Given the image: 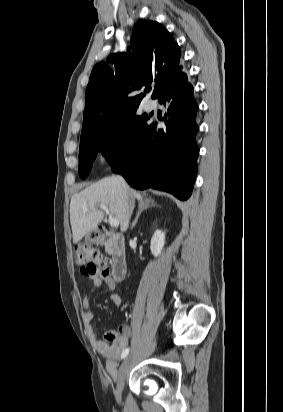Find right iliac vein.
Returning a JSON list of instances; mask_svg holds the SVG:
<instances>
[{
  "label": "right iliac vein",
  "mask_w": 283,
  "mask_h": 412,
  "mask_svg": "<svg viewBox=\"0 0 283 412\" xmlns=\"http://www.w3.org/2000/svg\"><path fill=\"white\" fill-rule=\"evenodd\" d=\"M130 364H131V356H128L124 359V361L122 362L119 368L117 385H116V390H115V398L118 403H121V394H122L123 384H124L126 375L130 369Z\"/></svg>",
  "instance_id": "obj_1"
}]
</instances>
